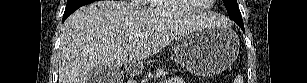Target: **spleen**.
Listing matches in <instances>:
<instances>
[{"label": "spleen", "instance_id": "spleen-1", "mask_svg": "<svg viewBox=\"0 0 307 83\" xmlns=\"http://www.w3.org/2000/svg\"><path fill=\"white\" fill-rule=\"evenodd\" d=\"M234 83H243V78H241L240 76H238L236 79H235V82Z\"/></svg>", "mask_w": 307, "mask_h": 83}]
</instances>
